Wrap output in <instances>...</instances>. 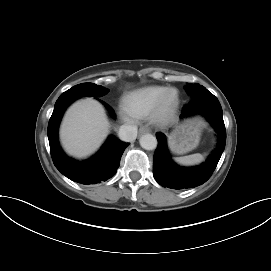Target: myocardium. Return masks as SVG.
Wrapping results in <instances>:
<instances>
[{
  "label": "myocardium",
  "instance_id": "1",
  "mask_svg": "<svg viewBox=\"0 0 271 271\" xmlns=\"http://www.w3.org/2000/svg\"><path fill=\"white\" fill-rule=\"evenodd\" d=\"M180 105V94L176 88H168L158 99L151 111L152 119L164 124L170 121Z\"/></svg>",
  "mask_w": 271,
  "mask_h": 271
}]
</instances>
